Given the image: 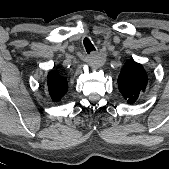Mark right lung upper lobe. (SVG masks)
<instances>
[{
    "mask_svg": "<svg viewBox=\"0 0 169 169\" xmlns=\"http://www.w3.org/2000/svg\"><path fill=\"white\" fill-rule=\"evenodd\" d=\"M47 87L51 99L55 102L60 101L68 90L67 80L60 76L56 71L48 74Z\"/></svg>",
    "mask_w": 169,
    "mask_h": 169,
    "instance_id": "1",
    "label": "right lung upper lobe"
}]
</instances>
